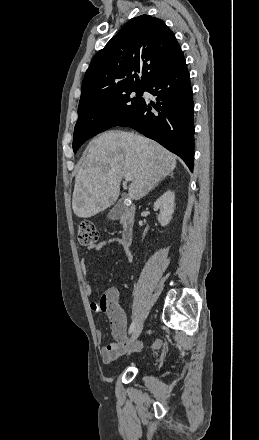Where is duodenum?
<instances>
[{
    "instance_id": "1",
    "label": "duodenum",
    "mask_w": 259,
    "mask_h": 440,
    "mask_svg": "<svg viewBox=\"0 0 259 440\" xmlns=\"http://www.w3.org/2000/svg\"><path fill=\"white\" fill-rule=\"evenodd\" d=\"M136 208L133 204H130L123 212L122 220V240L127 245H130L134 235V221H135Z\"/></svg>"
}]
</instances>
